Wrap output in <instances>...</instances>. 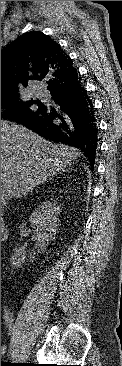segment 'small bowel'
Masks as SVG:
<instances>
[{
    "mask_svg": "<svg viewBox=\"0 0 122 366\" xmlns=\"http://www.w3.org/2000/svg\"><path fill=\"white\" fill-rule=\"evenodd\" d=\"M5 348H1V354L4 352Z\"/></svg>",
    "mask_w": 122,
    "mask_h": 366,
    "instance_id": "c3829d8e",
    "label": "small bowel"
}]
</instances>
